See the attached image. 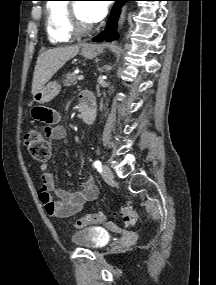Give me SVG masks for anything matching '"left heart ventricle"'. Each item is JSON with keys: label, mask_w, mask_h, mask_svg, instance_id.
Returning a JSON list of instances; mask_svg holds the SVG:
<instances>
[{"label": "left heart ventricle", "mask_w": 216, "mask_h": 285, "mask_svg": "<svg viewBox=\"0 0 216 285\" xmlns=\"http://www.w3.org/2000/svg\"><path fill=\"white\" fill-rule=\"evenodd\" d=\"M75 12L80 20L81 23L85 25H90L91 23L88 21L86 14H85V3L83 2H76L75 3Z\"/></svg>", "instance_id": "obj_1"}]
</instances>
